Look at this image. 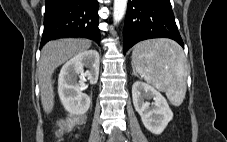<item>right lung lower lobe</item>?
Returning a JSON list of instances; mask_svg holds the SVG:
<instances>
[{"label":"right lung lower lobe","instance_id":"98d812e1","mask_svg":"<svg viewBox=\"0 0 227 142\" xmlns=\"http://www.w3.org/2000/svg\"><path fill=\"white\" fill-rule=\"evenodd\" d=\"M40 48L62 37H84L100 44L97 0H46Z\"/></svg>","mask_w":227,"mask_h":142}]
</instances>
